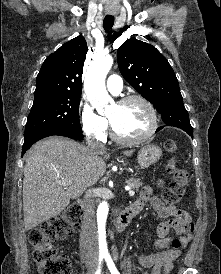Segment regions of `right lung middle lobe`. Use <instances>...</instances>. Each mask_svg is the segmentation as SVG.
Masks as SVG:
<instances>
[{"mask_svg": "<svg viewBox=\"0 0 221 274\" xmlns=\"http://www.w3.org/2000/svg\"><path fill=\"white\" fill-rule=\"evenodd\" d=\"M80 96V94H75L34 99L25 126V136L50 128H62L82 133L79 122Z\"/></svg>", "mask_w": 221, "mask_h": 274, "instance_id": "right-lung-middle-lobe-1", "label": "right lung middle lobe"}]
</instances>
